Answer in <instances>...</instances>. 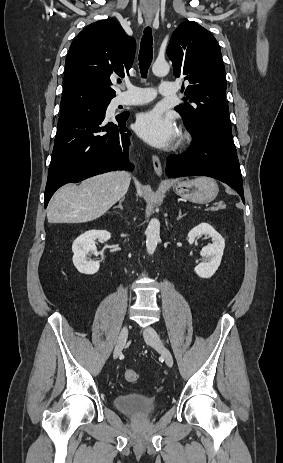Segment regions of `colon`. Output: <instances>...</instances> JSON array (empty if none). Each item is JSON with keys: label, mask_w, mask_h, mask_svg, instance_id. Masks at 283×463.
<instances>
[{"label": "colon", "mask_w": 283, "mask_h": 463, "mask_svg": "<svg viewBox=\"0 0 283 463\" xmlns=\"http://www.w3.org/2000/svg\"><path fill=\"white\" fill-rule=\"evenodd\" d=\"M125 380L129 383H135L139 379V375L136 371L134 370H127L124 373Z\"/></svg>", "instance_id": "colon-1"}]
</instances>
